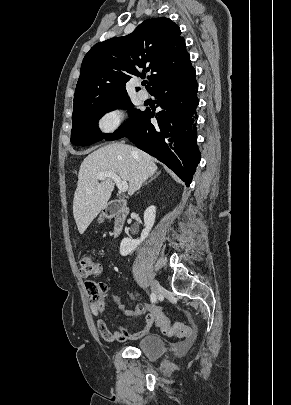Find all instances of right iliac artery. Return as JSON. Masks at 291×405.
I'll use <instances>...</instances> for the list:
<instances>
[{"mask_svg": "<svg viewBox=\"0 0 291 405\" xmlns=\"http://www.w3.org/2000/svg\"><path fill=\"white\" fill-rule=\"evenodd\" d=\"M150 300H151V302L156 301V296L153 293L150 294Z\"/></svg>", "mask_w": 291, "mask_h": 405, "instance_id": "right-iliac-artery-1", "label": "right iliac artery"}]
</instances>
